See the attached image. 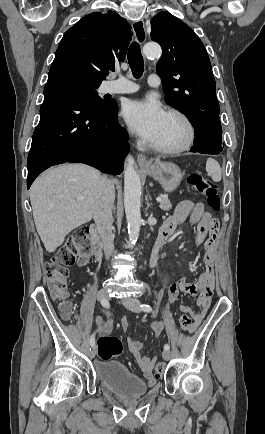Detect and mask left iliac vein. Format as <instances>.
Segmentation results:
<instances>
[{
	"label": "left iliac vein",
	"mask_w": 265,
	"mask_h": 434,
	"mask_svg": "<svg viewBox=\"0 0 265 434\" xmlns=\"http://www.w3.org/2000/svg\"><path fill=\"white\" fill-rule=\"evenodd\" d=\"M139 300L134 299V298H127L125 300H122V304L130 311L139 313L141 311V309L139 308ZM163 358L165 360H169L170 359V351L169 350H164L163 351Z\"/></svg>",
	"instance_id": "4c4485c4"
}]
</instances>
